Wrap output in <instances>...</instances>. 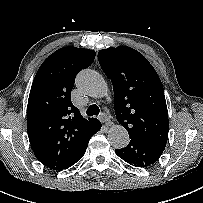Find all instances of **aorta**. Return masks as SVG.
I'll list each match as a JSON object with an SVG mask.
<instances>
[{
	"mask_svg": "<svg viewBox=\"0 0 203 203\" xmlns=\"http://www.w3.org/2000/svg\"><path fill=\"white\" fill-rule=\"evenodd\" d=\"M78 89L93 98H102L108 93V86L103 77L93 70L81 71L76 79ZM109 143L117 149L125 148L129 142V134L122 125H113L107 135Z\"/></svg>",
	"mask_w": 203,
	"mask_h": 203,
	"instance_id": "762f6f07",
	"label": "aorta"
}]
</instances>
